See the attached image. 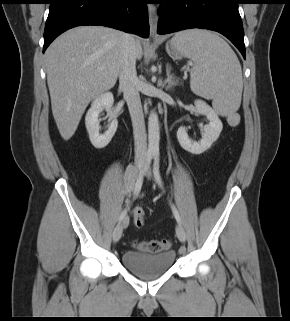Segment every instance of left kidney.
Returning <instances> with one entry per match:
<instances>
[{
  "instance_id": "5707ae66",
  "label": "left kidney",
  "mask_w": 290,
  "mask_h": 321,
  "mask_svg": "<svg viewBox=\"0 0 290 321\" xmlns=\"http://www.w3.org/2000/svg\"><path fill=\"white\" fill-rule=\"evenodd\" d=\"M196 112L206 115L209 124L205 126V133L199 142L193 141L189 138L185 127H180L177 131V139L183 149L192 154H201L211 147V145L218 139L223 124L216 112L204 101L196 100L194 102Z\"/></svg>"
}]
</instances>
